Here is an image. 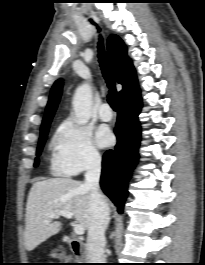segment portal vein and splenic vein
Listing matches in <instances>:
<instances>
[{
	"label": "portal vein and splenic vein",
	"mask_w": 205,
	"mask_h": 265,
	"mask_svg": "<svg viewBox=\"0 0 205 265\" xmlns=\"http://www.w3.org/2000/svg\"><path fill=\"white\" fill-rule=\"evenodd\" d=\"M59 216H64L68 219H71L73 217V214L70 211L62 210V211H58L56 213H52L48 218L54 219V218H57ZM72 226H73L75 234H77V235H83L84 234L85 229L82 225L77 224V223H73Z\"/></svg>",
	"instance_id": "18ae733b"
}]
</instances>
